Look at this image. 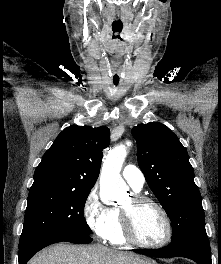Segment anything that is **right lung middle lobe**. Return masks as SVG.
<instances>
[{"mask_svg":"<svg viewBox=\"0 0 221 264\" xmlns=\"http://www.w3.org/2000/svg\"><path fill=\"white\" fill-rule=\"evenodd\" d=\"M90 190L30 191L19 248L39 239L90 236L84 206Z\"/></svg>","mask_w":221,"mask_h":264,"instance_id":"1","label":"right lung middle lobe"}]
</instances>
